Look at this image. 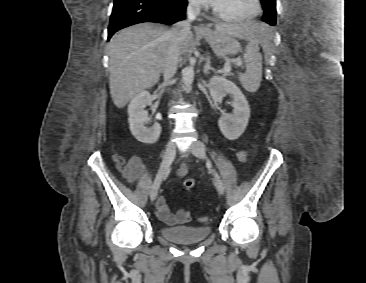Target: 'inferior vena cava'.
Wrapping results in <instances>:
<instances>
[{"mask_svg": "<svg viewBox=\"0 0 366 283\" xmlns=\"http://www.w3.org/2000/svg\"><path fill=\"white\" fill-rule=\"evenodd\" d=\"M200 13V5L196 0H189L187 18L177 22L170 30L169 47L163 64L164 83L169 84L177 71L181 55V46L187 34L190 33L191 22Z\"/></svg>", "mask_w": 366, "mask_h": 283, "instance_id": "602c4592", "label": "inferior vena cava"}]
</instances>
